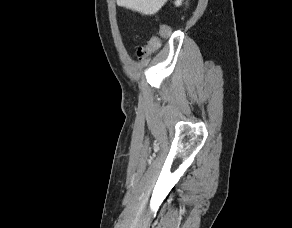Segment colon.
Wrapping results in <instances>:
<instances>
[{
    "label": "colon",
    "mask_w": 292,
    "mask_h": 228,
    "mask_svg": "<svg viewBox=\"0 0 292 228\" xmlns=\"http://www.w3.org/2000/svg\"><path fill=\"white\" fill-rule=\"evenodd\" d=\"M163 34H167V29H163ZM159 45V39L151 40L147 45L141 47L138 50V56L140 59H144L151 52H153Z\"/></svg>",
    "instance_id": "colon-1"
}]
</instances>
